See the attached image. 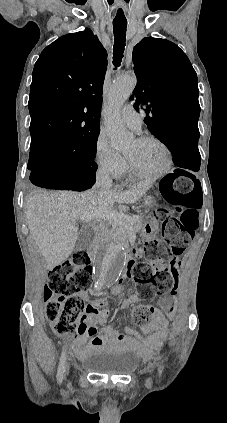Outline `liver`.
Here are the masks:
<instances>
[{"mask_svg": "<svg viewBox=\"0 0 227 423\" xmlns=\"http://www.w3.org/2000/svg\"><path fill=\"white\" fill-rule=\"evenodd\" d=\"M151 188L149 182L132 184L129 190L87 192H31L25 202L26 219L35 243L47 265L53 269L72 253L79 235V225L89 223L98 211H108L113 204H136Z\"/></svg>", "mask_w": 227, "mask_h": 423, "instance_id": "1", "label": "liver"}]
</instances>
